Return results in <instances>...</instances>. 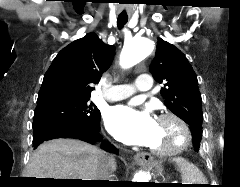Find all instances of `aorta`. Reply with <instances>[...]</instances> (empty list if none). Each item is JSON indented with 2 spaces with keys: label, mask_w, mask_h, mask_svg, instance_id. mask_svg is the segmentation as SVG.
Instances as JSON below:
<instances>
[{
  "label": "aorta",
  "mask_w": 240,
  "mask_h": 187,
  "mask_svg": "<svg viewBox=\"0 0 240 187\" xmlns=\"http://www.w3.org/2000/svg\"><path fill=\"white\" fill-rule=\"evenodd\" d=\"M153 42L145 37H134L124 46L121 57L120 65L122 68L127 69L145 57L151 54L153 51ZM149 175L146 172H138L134 175L132 182H148Z\"/></svg>",
  "instance_id": "obj_1"
}]
</instances>
